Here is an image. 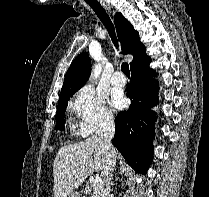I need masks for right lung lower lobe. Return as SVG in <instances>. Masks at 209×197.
Wrapping results in <instances>:
<instances>
[{
  "mask_svg": "<svg viewBox=\"0 0 209 197\" xmlns=\"http://www.w3.org/2000/svg\"><path fill=\"white\" fill-rule=\"evenodd\" d=\"M148 57L131 68L132 79L127 86L131 105L115 118L114 146L123 155L128 165L137 173L146 174L153 161L152 140L156 121L150 107L158 103V82L151 80L153 71Z\"/></svg>",
  "mask_w": 209,
  "mask_h": 197,
  "instance_id": "98d812e1",
  "label": "right lung lower lobe"
}]
</instances>
